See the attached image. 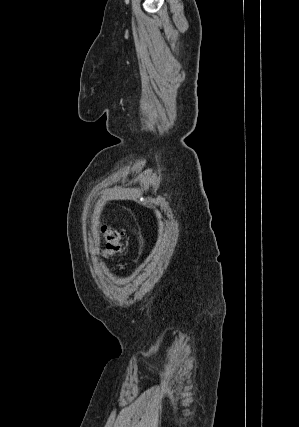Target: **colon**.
I'll return each instance as SVG.
<instances>
[{"mask_svg": "<svg viewBox=\"0 0 299 427\" xmlns=\"http://www.w3.org/2000/svg\"><path fill=\"white\" fill-rule=\"evenodd\" d=\"M100 234L105 241L104 248L100 249V253L103 256L109 257L121 250V233L110 229L106 224H102L100 227Z\"/></svg>", "mask_w": 299, "mask_h": 427, "instance_id": "5ec220e1", "label": "colon"}]
</instances>
